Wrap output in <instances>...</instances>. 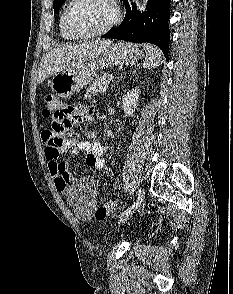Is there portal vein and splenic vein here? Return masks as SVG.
<instances>
[{
  "label": "portal vein and splenic vein",
  "instance_id": "18ae733b",
  "mask_svg": "<svg viewBox=\"0 0 233 294\" xmlns=\"http://www.w3.org/2000/svg\"><path fill=\"white\" fill-rule=\"evenodd\" d=\"M108 79H109V80H112V79H113V75H109V76H108Z\"/></svg>",
  "mask_w": 233,
  "mask_h": 294
}]
</instances>
